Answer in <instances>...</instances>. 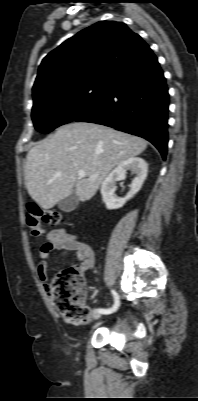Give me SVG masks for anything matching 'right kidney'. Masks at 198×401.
Returning a JSON list of instances; mask_svg holds the SVG:
<instances>
[{
    "label": "right kidney",
    "mask_w": 198,
    "mask_h": 401,
    "mask_svg": "<svg viewBox=\"0 0 198 401\" xmlns=\"http://www.w3.org/2000/svg\"><path fill=\"white\" fill-rule=\"evenodd\" d=\"M127 170H131L136 176L131 183L130 191L124 198L115 196L116 182L124 180ZM148 165L140 157H133L120 163L103 181L101 195L106 208L118 209L131 199L142 187L147 177Z\"/></svg>",
    "instance_id": "right-kidney-1"
}]
</instances>
